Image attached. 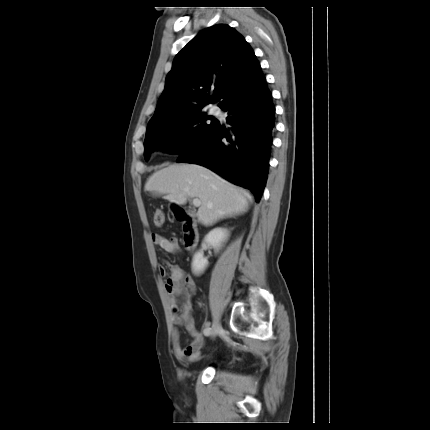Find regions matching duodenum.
<instances>
[{
  "label": "duodenum",
  "mask_w": 430,
  "mask_h": 430,
  "mask_svg": "<svg viewBox=\"0 0 430 430\" xmlns=\"http://www.w3.org/2000/svg\"><path fill=\"white\" fill-rule=\"evenodd\" d=\"M177 219L182 223L184 244L189 249H194L199 241V233L195 219L186 214L182 209L175 211Z\"/></svg>",
  "instance_id": "duodenum-1"
}]
</instances>
